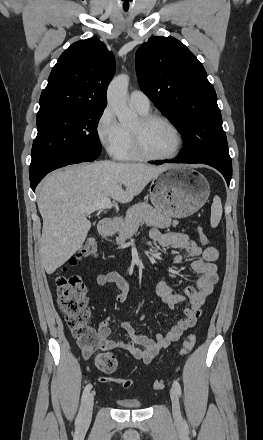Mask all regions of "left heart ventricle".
I'll list each match as a JSON object with an SVG mask.
<instances>
[{
	"label": "left heart ventricle",
	"mask_w": 263,
	"mask_h": 440,
	"mask_svg": "<svg viewBox=\"0 0 263 440\" xmlns=\"http://www.w3.org/2000/svg\"><path fill=\"white\" fill-rule=\"evenodd\" d=\"M131 128H139V119L132 124ZM142 139L147 151L153 155L171 154L177 145L174 132L162 121H155L144 127Z\"/></svg>",
	"instance_id": "left-heart-ventricle-1"
}]
</instances>
